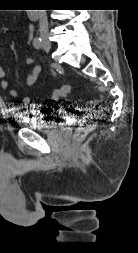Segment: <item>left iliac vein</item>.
Returning <instances> with one entry per match:
<instances>
[{
	"instance_id": "1",
	"label": "left iliac vein",
	"mask_w": 138,
	"mask_h": 253,
	"mask_svg": "<svg viewBox=\"0 0 138 253\" xmlns=\"http://www.w3.org/2000/svg\"><path fill=\"white\" fill-rule=\"evenodd\" d=\"M44 49H45V51H48V50H49V49H47V48H45V47H44Z\"/></svg>"
}]
</instances>
